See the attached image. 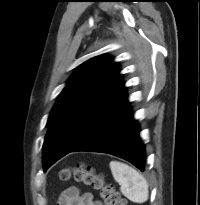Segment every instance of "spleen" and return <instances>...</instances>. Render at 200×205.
I'll list each match as a JSON object with an SVG mask.
<instances>
[{
	"label": "spleen",
	"mask_w": 200,
	"mask_h": 205,
	"mask_svg": "<svg viewBox=\"0 0 200 205\" xmlns=\"http://www.w3.org/2000/svg\"><path fill=\"white\" fill-rule=\"evenodd\" d=\"M109 166L125 197L140 204L148 200V183L137 170L119 161H111Z\"/></svg>",
	"instance_id": "3e777b00"
}]
</instances>
